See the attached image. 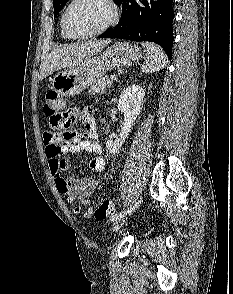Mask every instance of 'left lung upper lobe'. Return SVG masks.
Masks as SVG:
<instances>
[{"instance_id": "left-lung-upper-lobe-1", "label": "left lung upper lobe", "mask_w": 233, "mask_h": 294, "mask_svg": "<svg viewBox=\"0 0 233 294\" xmlns=\"http://www.w3.org/2000/svg\"><path fill=\"white\" fill-rule=\"evenodd\" d=\"M69 0H53V6H54V17L57 16L59 11L65 6V4ZM122 0H114L115 3H120Z\"/></svg>"}]
</instances>
